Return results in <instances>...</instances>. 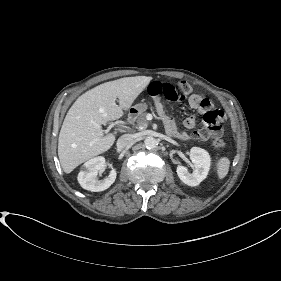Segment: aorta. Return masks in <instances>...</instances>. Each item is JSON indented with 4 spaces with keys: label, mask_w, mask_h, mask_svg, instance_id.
I'll return each instance as SVG.
<instances>
[{
    "label": "aorta",
    "mask_w": 281,
    "mask_h": 281,
    "mask_svg": "<svg viewBox=\"0 0 281 281\" xmlns=\"http://www.w3.org/2000/svg\"><path fill=\"white\" fill-rule=\"evenodd\" d=\"M144 145L148 149H154L158 145V143L154 137L148 136L144 140Z\"/></svg>",
    "instance_id": "aorta-1"
}]
</instances>
